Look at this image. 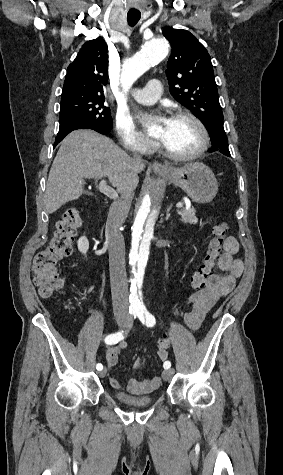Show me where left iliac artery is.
<instances>
[{
    "instance_id": "obj_1",
    "label": "left iliac artery",
    "mask_w": 283,
    "mask_h": 475,
    "mask_svg": "<svg viewBox=\"0 0 283 475\" xmlns=\"http://www.w3.org/2000/svg\"><path fill=\"white\" fill-rule=\"evenodd\" d=\"M135 315L139 318V320L148 326L152 327L155 325L156 320L155 317L146 309L144 310H138L135 312ZM164 369H168L171 367V363L169 361L164 362L163 364Z\"/></svg>"
}]
</instances>
